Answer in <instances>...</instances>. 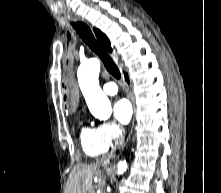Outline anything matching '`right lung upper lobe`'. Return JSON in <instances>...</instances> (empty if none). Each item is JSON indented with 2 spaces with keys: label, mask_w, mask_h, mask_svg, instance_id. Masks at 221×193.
I'll return each mask as SVG.
<instances>
[{
  "label": "right lung upper lobe",
  "mask_w": 221,
  "mask_h": 193,
  "mask_svg": "<svg viewBox=\"0 0 221 193\" xmlns=\"http://www.w3.org/2000/svg\"><path fill=\"white\" fill-rule=\"evenodd\" d=\"M95 34L98 38V40L102 43V45L109 51L111 52V46H110V41L109 39L98 29H94Z\"/></svg>",
  "instance_id": "right-lung-upper-lobe-1"
}]
</instances>
